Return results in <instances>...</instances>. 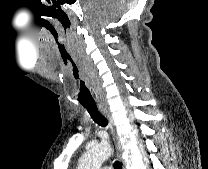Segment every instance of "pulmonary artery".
Masks as SVG:
<instances>
[{
	"mask_svg": "<svg viewBox=\"0 0 208 169\" xmlns=\"http://www.w3.org/2000/svg\"><path fill=\"white\" fill-rule=\"evenodd\" d=\"M100 169H112V167L107 166V165H103Z\"/></svg>",
	"mask_w": 208,
	"mask_h": 169,
	"instance_id": "pulmonary-artery-1",
	"label": "pulmonary artery"
}]
</instances>
